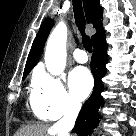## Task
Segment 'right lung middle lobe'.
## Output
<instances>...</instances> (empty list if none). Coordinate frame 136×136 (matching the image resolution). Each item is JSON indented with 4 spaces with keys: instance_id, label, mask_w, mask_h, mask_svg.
<instances>
[{
    "instance_id": "obj_1",
    "label": "right lung middle lobe",
    "mask_w": 136,
    "mask_h": 136,
    "mask_svg": "<svg viewBox=\"0 0 136 136\" xmlns=\"http://www.w3.org/2000/svg\"><path fill=\"white\" fill-rule=\"evenodd\" d=\"M27 76V74H24L23 79Z\"/></svg>"
}]
</instances>
